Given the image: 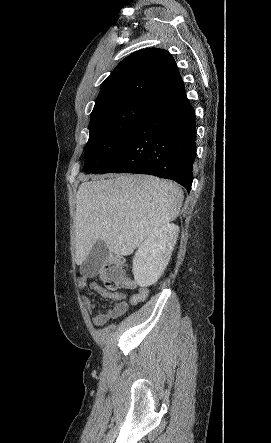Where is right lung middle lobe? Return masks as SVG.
<instances>
[{"label": "right lung middle lobe", "mask_w": 271, "mask_h": 443, "mask_svg": "<svg viewBox=\"0 0 271 443\" xmlns=\"http://www.w3.org/2000/svg\"><path fill=\"white\" fill-rule=\"evenodd\" d=\"M151 105L142 99H124L93 109L85 148L86 173L96 171L110 159L138 118Z\"/></svg>", "instance_id": "right-lung-middle-lobe-1"}]
</instances>
